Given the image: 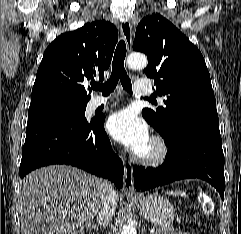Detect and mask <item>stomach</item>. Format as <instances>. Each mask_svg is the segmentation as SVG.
I'll return each instance as SVG.
<instances>
[{
	"label": "stomach",
	"instance_id": "obj_1",
	"mask_svg": "<svg viewBox=\"0 0 241 234\" xmlns=\"http://www.w3.org/2000/svg\"><path fill=\"white\" fill-rule=\"evenodd\" d=\"M140 214L149 222L162 228H169L174 220V207L163 196L148 195L135 200Z\"/></svg>",
	"mask_w": 241,
	"mask_h": 234
}]
</instances>
